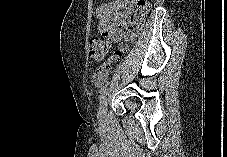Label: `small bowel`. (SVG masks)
Masks as SVG:
<instances>
[{
  "label": "small bowel",
  "instance_id": "obj_1",
  "mask_svg": "<svg viewBox=\"0 0 227 157\" xmlns=\"http://www.w3.org/2000/svg\"><path fill=\"white\" fill-rule=\"evenodd\" d=\"M136 0H113L99 5L95 10L98 31L109 41L116 42L128 26Z\"/></svg>",
  "mask_w": 227,
  "mask_h": 157
}]
</instances>
